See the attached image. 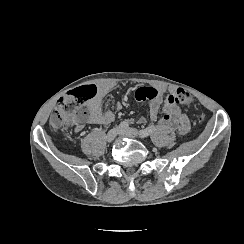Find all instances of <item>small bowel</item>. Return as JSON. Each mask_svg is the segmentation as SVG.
Returning a JSON list of instances; mask_svg holds the SVG:
<instances>
[{"label": "small bowel", "instance_id": "1", "mask_svg": "<svg viewBox=\"0 0 244 244\" xmlns=\"http://www.w3.org/2000/svg\"><path fill=\"white\" fill-rule=\"evenodd\" d=\"M95 87L96 95L87 103L88 113L83 121L78 122L80 127L75 131L76 133L82 131L86 124L109 125L115 119L111 111L104 109L105 99L112 92L114 84L103 82ZM173 94V89L165 87H142L135 95L138 101L147 103L148 116L152 121H158L165 130L186 135L190 131V121L187 115L172 102ZM119 108L120 106H117V109ZM144 121L145 118H138V122Z\"/></svg>", "mask_w": 244, "mask_h": 244}]
</instances>
